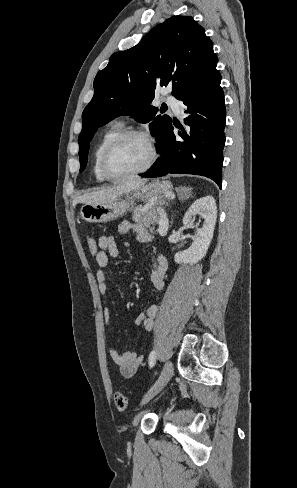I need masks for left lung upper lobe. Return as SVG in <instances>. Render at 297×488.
Here are the masks:
<instances>
[{
    "instance_id": "left-lung-upper-lobe-1",
    "label": "left lung upper lobe",
    "mask_w": 297,
    "mask_h": 488,
    "mask_svg": "<svg viewBox=\"0 0 297 488\" xmlns=\"http://www.w3.org/2000/svg\"><path fill=\"white\" fill-rule=\"evenodd\" d=\"M204 29L191 16H173L154 27L135 47L111 55L94 79V96L85 107L79 135L80 171L87 164L89 142L97 129L119 115L150 122L158 150L171 124L151 106L157 85L172 86L183 100L216 72L218 58Z\"/></svg>"
}]
</instances>
